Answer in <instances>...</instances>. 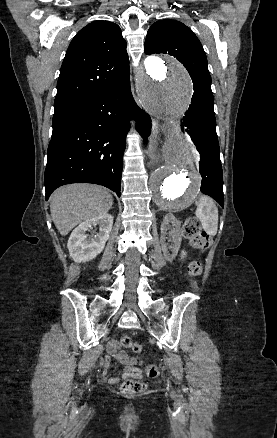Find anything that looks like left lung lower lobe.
<instances>
[{"label": "left lung lower lobe", "mask_w": 277, "mask_h": 438, "mask_svg": "<svg viewBox=\"0 0 277 438\" xmlns=\"http://www.w3.org/2000/svg\"><path fill=\"white\" fill-rule=\"evenodd\" d=\"M184 126L200 153L201 192L214 198L224 207L223 173L220 161V149L216 134L213 102L199 104L191 101L183 118Z\"/></svg>", "instance_id": "1"}]
</instances>
